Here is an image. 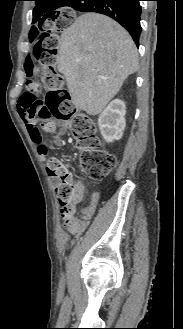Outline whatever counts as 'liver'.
I'll use <instances>...</instances> for the list:
<instances>
[{"mask_svg":"<svg viewBox=\"0 0 183 329\" xmlns=\"http://www.w3.org/2000/svg\"><path fill=\"white\" fill-rule=\"evenodd\" d=\"M57 68L66 77L74 105L98 115L137 71V48L117 22L86 13L62 32Z\"/></svg>","mask_w":183,"mask_h":329,"instance_id":"6515ba94","label":"liver"}]
</instances>
